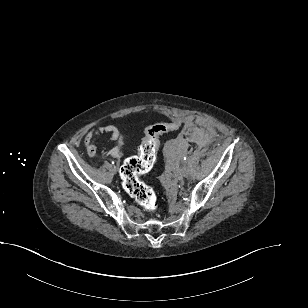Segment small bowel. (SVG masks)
<instances>
[{
  "mask_svg": "<svg viewBox=\"0 0 308 308\" xmlns=\"http://www.w3.org/2000/svg\"><path fill=\"white\" fill-rule=\"evenodd\" d=\"M193 123H194V119L190 117L184 119L183 121V124L186 126H191ZM101 134H108L111 137V139H116L118 136V129L113 125H107V126H102V127L93 129L87 133L84 139V146H85L87 155L90 158L96 155L97 148L95 145V140ZM103 154L106 156L118 157L120 155V149L116 147L108 151H104Z\"/></svg>",
  "mask_w": 308,
  "mask_h": 308,
  "instance_id": "c3829d8e",
  "label": "small bowel"
}]
</instances>
